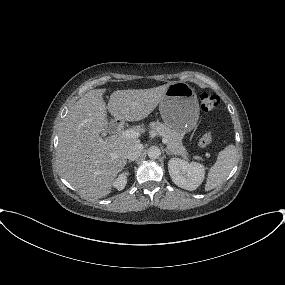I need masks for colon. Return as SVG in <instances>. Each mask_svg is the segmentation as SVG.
<instances>
[{"mask_svg": "<svg viewBox=\"0 0 285 285\" xmlns=\"http://www.w3.org/2000/svg\"><path fill=\"white\" fill-rule=\"evenodd\" d=\"M201 109L204 113H211L216 110L220 104V99L215 94L203 93L200 96ZM213 141V133L206 131L202 133L199 139V145L201 147L209 146Z\"/></svg>", "mask_w": 285, "mask_h": 285, "instance_id": "5ec220e1", "label": "colon"}]
</instances>
